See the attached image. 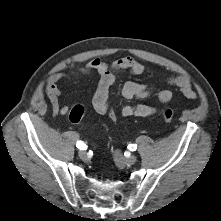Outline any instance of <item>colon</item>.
Returning <instances> with one entry per match:
<instances>
[{"label":"colon","instance_id":"5ec220e1","mask_svg":"<svg viewBox=\"0 0 221 221\" xmlns=\"http://www.w3.org/2000/svg\"><path fill=\"white\" fill-rule=\"evenodd\" d=\"M106 111L108 112V119L111 124H118L120 122V115L115 111L114 103L106 104ZM86 112V108L83 105L74 106L69 112V120L78 123L82 120ZM161 116L165 122H171L174 119V111L170 108H164L161 112Z\"/></svg>","mask_w":221,"mask_h":221}]
</instances>
